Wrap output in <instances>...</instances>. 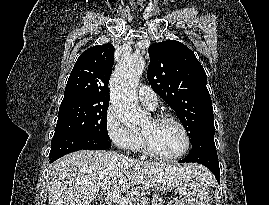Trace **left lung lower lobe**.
<instances>
[{
    "label": "left lung lower lobe",
    "instance_id": "obj_1",
    "mask_svg": "<svg viewBox=\"0 0 269 205\" xmlns=\"http://www.w3.org/2000/svg\"><path fill=\"white\" fill-rule=\"evenodd\" d=\"M215 131H208L202 134L194 143L192 150L187 157L180 162H197L206 166L220 181V169L218 156L214 142Z\"/></svg>",
    "mask_w": 269,
    "mask_h": 205
}]
</instances>
